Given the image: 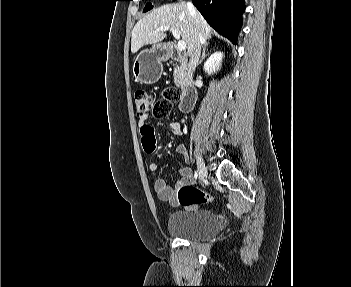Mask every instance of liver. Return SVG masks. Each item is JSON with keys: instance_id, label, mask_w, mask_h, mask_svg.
<instances>
[{"instance_id": "6515ba94", "label": "liver", "mask_w": 351, "mask_h": 287, "mask_svg": "<svg viewBox=\"0 0 351 287\" xmlns=\"http://www.w3.org/2000/svg\"><path fill=\"white\" fill-rule=\"evenodd\" d=\"M168 26L176 29L187 45V54L194 51L198 34L210 39L212 29L198 13V21L190 14L185 2L163 5L140 19L132 30L131 52L136 53L144 45L157 44L166 38L158 28Z\"/></svg>"}]
</instances>
